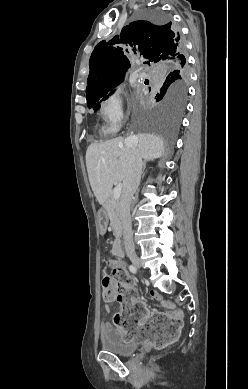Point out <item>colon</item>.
<instances>
[{"instance_id":"1","label":"colon","mask_w":248,"mask_h":389,"mask_svg":"<svg viewBox=\"0 0 248 389\" xmlns=\"http://www.w3.org/2000/svg\"><path fill=\"white\" fill-rule=\"evenodd\" d=\"M102 284L104 300H116L123 304L115 314V325L124 332L125 344H154L156 350H165L166 344H176L181 322L167 312L153 311L144 301H138L139 294L135 287L122 289L124 285H135L136 279L126 273L123 267H113L111 275H104ZM146 318V319H145ZM143 326L141 322H144Z\"/></svg>"}]
</instances>
